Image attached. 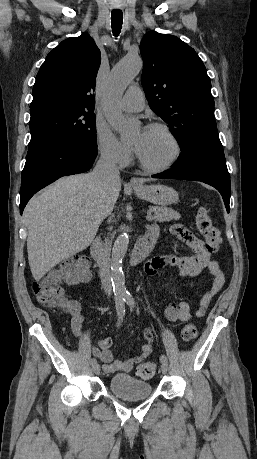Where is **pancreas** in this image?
Returning <instances> with one entry per match:
<instances>
[{
    "label": "pancreas",
    "instance_id": "1",
    "mask_svg": "<svg viewBox=\"0 0 257 459\" xmlns=\"http://www.w3.org/2000/svg\"><path fill=\"white\" fill-rule=\"evenodd\" d=\"M149 212L153 213V220L156 222H165L179 220L180 214L166 207L150 206Z\"/></svg>",
    "mask_w": 257,
    "mask_h": 459
}]
</instances>
